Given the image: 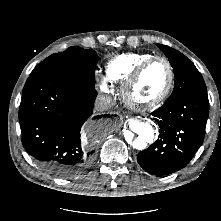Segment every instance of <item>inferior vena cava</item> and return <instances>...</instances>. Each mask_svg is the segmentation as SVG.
<instances>
[{
  "mask_svg": "<svg viewBox=\"0 0 221 221\" xmlns=\"http://www.w3.org/2000/svg\"><path fill=\"white\" fill-rule=\"evenodd\" d=\"M113 105L112 98L108 95H99L95 100V109L97 111H106Z\"/></svg>",
  "mask_w": 221,
  "mask_h": 221,
  "instance_id": "obj_1",
  "label": "inferior vena cava"
}]
</instances>
